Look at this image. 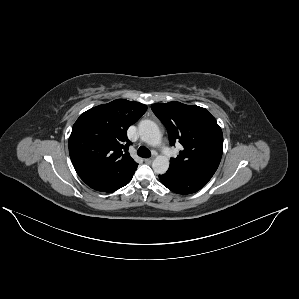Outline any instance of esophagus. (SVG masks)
Returning <instances> with one entry per match:
<instances>
[{
  "instance_id": "esophagus-1",
  "label": "esophagus",
  "mask_w": 299,
  "mask_h": 299,
  "mask_svg": "<svg viewBox=\"0 0 299 299\" xmlns=\"http://www.w3.org/2000/svg\"><path fill=\"white\" fill-rule=\"evenodd\" d=\"M144 161H145V163H147V164H151V163L153 162V158H147V159H145Z\"/></svg>"
}]
</instances>
